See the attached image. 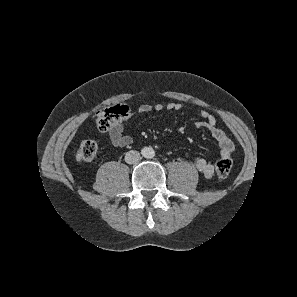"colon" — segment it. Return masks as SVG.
Returning a JSON list of instances; mask_svg holds the SVG:
<instances>
[{"label": "colon", "mask_w": 297, "mask_h": 297, "mask_svg": "<svg viewBox=\"0 0 297 297\" xmlns=\"http://www.w3.org/2000/svg\"><path fill=\"white\" fill-rule=\"evenodd\" d=\"M129 114V108L126 105H115L101 110L97 114L96 123L99 130L109 131L116 123L120 122ZM98 146L92 140L83 141L80 146V154L86 161L94 160L97 156ZM232 168L230 158H222L216 163V174L219 180L225 179Z\"/></svg>", "instance_id": "1"}]
</instances>
